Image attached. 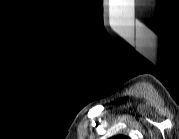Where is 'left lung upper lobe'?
Here are the masks:
<instances>
[{"label":"left lung upper lobe","mask_w":179,"mask_h":139,"mask_svg":"<svg viewBox=\"0 0 179 139\" xmlns=\"http://www.w3.org/2000/svg\"><path fill=\"white\" fill-rule=\"evenodd\" d=\"M119 139H128L127 137L125 136H118Z\"/></svg>","instance_id":"obj_1"}]
</instances>
